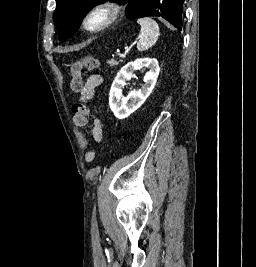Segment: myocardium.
Returning a JSON list of instances; mask_svg holds the SVG:
<instances>
[{"instance_id":"myocardium-1","label":"myocardium","mask_w":256,"mask_h":267,"mask_svg":"<svg viewBox=\"0 0 256 267\" xmlns=\"http://www.w3.org/2000/svg\"><path fill=\"white\" fill-rule=\"evenodd\" d=\"M119 15L120 9L118 5L114 3L100 4L84 15L81 27L89 34H98L109 28L117 20ZM98 16H103L104 19L99 25L94 26L93 20Z\"/></svg>"}]
</instances>
